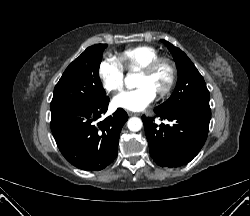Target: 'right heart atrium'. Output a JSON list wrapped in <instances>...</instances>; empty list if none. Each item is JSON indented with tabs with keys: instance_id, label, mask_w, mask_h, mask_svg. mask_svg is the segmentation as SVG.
Wrapping results in <instances>:
<instances>
[{
	"instance_id": "obj_1",
	"label": "right heart atrium",
	"mask_w": 250,
	"mask_h": 216,
	"mask_svg": "<svg viewBox=\"0 0 250 216\" xmlns=\"http://www.w3.org/2000/svg\"><path fill=\"white\" fill-rule=\"evenodd\" d=\"M100 75L105 88L109 91H119L125 83V71L114 58L106 59L100 66Z\"/></svg>"
}]
</instances>
